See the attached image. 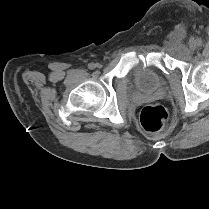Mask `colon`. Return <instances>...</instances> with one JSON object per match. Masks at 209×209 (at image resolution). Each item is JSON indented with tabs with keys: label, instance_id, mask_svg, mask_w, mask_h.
<instances>
[{
	"label": "colon",
	"instance_id": "1",
	"mask_svg": "<svg viewBox=\"0 0 209 209\" xmlns=\"http://www.w3.org/2000/svg\"><path fill=\"white\" fill-rule=\"evenodd\" d=\"M169 120L168 111L160 105L147 106L140 114L142 127L150 132L162 130Z\"/></svg>",
	"mask_w": 209,
	"mask_h": 209
}]
</instances>
